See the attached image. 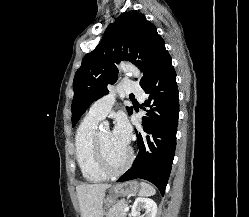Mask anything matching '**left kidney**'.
<instances>
[{
  "instance_id": "obj_1",
  "label": "left kidney",
  "mask_w": 249,
  "mask_h": 217,
  "mask_svg": "<svg viewBox=\"0 0 249 217\" xmlns=\"http://www.w3.org/2000/svg\"><path fill=\"white\" fill-rule=\"evenodd\" d=\"M145 210V217H156L157 204L150 198L138 197L131 210L132 217H144L140 216V211Z\"/></svg>"
}]
</instances>
